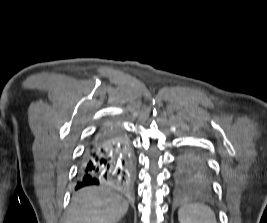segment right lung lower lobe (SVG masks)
<instances>
[{
	"label": "right lung lower lobe",
	"mask_w": 267,
	"mask_h": 223,
	"mask_svg": "<svg viewBox=\"0 0 267 223\" xmlns=\"http://www.w3.org/2000/svg\"><path fill=\"white\" fill-rule=\"evenodd\" d=\"M135 177L127 136L118 126L100 130L87 146L79 167L76 189L107 184L128 191Z\"/></svg>",
	"instance_id": "right-lung-lower-lobe-1"
}]
</instances>
